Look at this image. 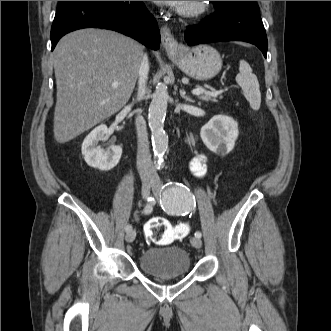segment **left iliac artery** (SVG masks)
Segmentation results:
<instances>
[{
    "label": "left iliac artery",
    "mask_w": 331,
    "mask_h": 331,
    "mask_svg": "<svg viewBox=\"0 0 331 331\" xmlns=\"http://www.w3.org/2000/svg\"><path fill=\"white\" fill-rule=\"evenodd\" d=\"M162 189L164 191L160 202L166 213L173 216H186L194 209L195 198L187 186L170 182ZM195 236L201 238L202 234L197 231Z\"/></svg>",
    "instance_id": "1"
}]
</instances>
